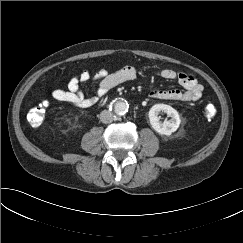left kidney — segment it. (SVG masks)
<instances>
[{
	"mask_svg": "<svg viewBox=\"0 0 243 243\" xmlns=\"http://www.w3.org/2000/svg\"><path fill=\"white\" fill-rule=\"evenodd\" d=\"M161 111L165 112L171 119L161 122L160 117H158ZM148 116L152 128L161 135H171L179 128L181 123L177 110L166 104H155L149 110Z\"/></svg>",
	"mask_w": 243,
	"mask_h": 243,
	"instance_id": "1",
	"label": "left kidney"
}]
</instances>
